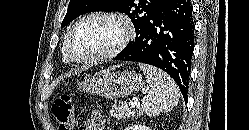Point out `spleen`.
<instances>
[{
  "label": "spleen",
  "instance_id": "3e777b00",
  "mask_svg": "<svg viewBox=\"0 0 249 130\" xmlns=\"http://www.w3.org/2000/svg\"><path fill=\"white\" fill-rule=\"evenodd\" d=\"M149 87L144 91L142 110L148 116H158L171 111L179 102L180 93L175 81L162 70L138 63Z\"/></svg>",
  "mask_w": 249,
  "mask_h": 130
}]
</instances>
